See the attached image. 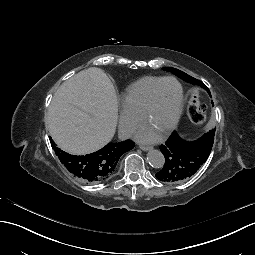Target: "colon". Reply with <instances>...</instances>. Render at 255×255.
Masks as SVG:
<instances>
[{"label":"colon","instance_id":"colon-1","mask_svg":"<svg viewBox=\"0 0 255 255\" xmlns=\"http://www.w3.org/2000/svg\"><path fill=\"white\" fill-rule=\"evenodd\" d=\"M187 113L191 121L195 124H203L206 121V111L201 103L200 95L197 90H192L190 92Z\"/></svg>","mask_w":255,"mask_h":255}]
</instances>
